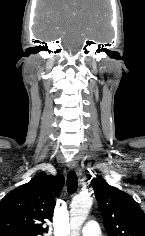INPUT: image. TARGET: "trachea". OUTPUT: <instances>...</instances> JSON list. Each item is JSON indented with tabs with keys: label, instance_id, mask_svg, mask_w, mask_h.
I'll return each mask as SVG.
<instances>
[{
	"label": "trachea",
	"instance_id": "3493384b",
	"mask_svg": "<svg viewBox=\"0 0 145 236\" xmlns=\"http://www.w3.org/2000/svg\"><path fill=\"white\" fill-rule=\"evenodd\" d=\"M78 188V178L75 171H70L67 175V190L71 195L76 192Z\"/></svg>",
	"mask_w": 145,
	"mask_h": 236
}]
</instances>
